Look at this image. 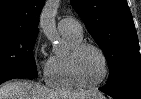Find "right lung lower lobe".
<instances>
[{
    "label": "right lung lower lobe",
    "mask_w": 141,
    "mask_h": 99,
    "mask_svg": "<svg viewBox=\"0 0 141 99\" xmlns=\"http://www.w3.org/2000/svg\"><path fill=\"white\" fill-rule=\"evenodd\" d=\"M30 76L31 75H28V74H13V75L3 76V77H0V84H2L5 81H8L10 79L22 78V77H30Z\"/></svg>",
    "instance_id": "98d812e1"
}]
</instances>
